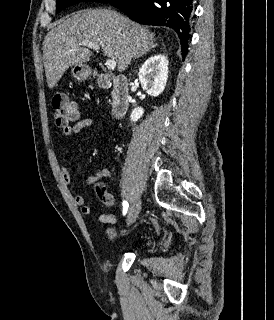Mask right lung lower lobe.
<instances>
[{
    "label": "right lung lower lobe",
    "instance_id": "1",
    "mask_svg": "<svg viewBox=\"0 0 274 320\" xmlns=\"http://www.w3.org/2000/svg\"><path fill=\"white\" fill-rule=\"evenodd\" d=\"M194 0H111L130 19L145 25L168 26L178 34L183 58L187 54Z\"/></svg>",
    "mask_w": 274,
    "mask_h": 320
}]
</instances>
